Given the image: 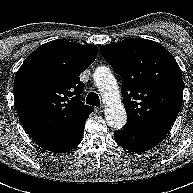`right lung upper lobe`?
I'll return each mask as SVG.
<instances>
[{
    "label": "right lung upper lobe",
    "instance_id": "cb5924a9",
    "mask_svg": "<svg viewBox=\"0 0 193 193\" xmlns=\"http://www.w3.org/2000/svg\"><path fill=\"white\" fill-rule=\"evenodd\" d=\"M96 45L55 40L41 45L19 68L14 98L22 125L31 137L51 134L85 119L79 75L96 59Z\"/></svg>",
    "mask_w": 193,
    "mask_h": 193
}]
</instances>
